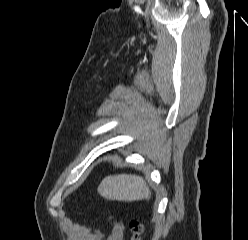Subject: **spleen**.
Listing matches in <instances>:
<instances>
[{
  "instance_id": "3e777b00",
  "label": "spleen",
  "mask_w": 248,
  "mask_h": 240,
  "mask_svg": "<svg viewBox=\"0 0 248 240\" xmlns=\"http://www.w3.org/2000/svg\"><path fill=\"white\" fill-rule=\"evenodd\" d=\"M99 193L106 199L117 201H136L151 197V191L144 179L137 175H110L103 179Z\"/></svg>"
}]
</instances>
